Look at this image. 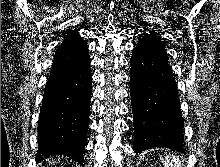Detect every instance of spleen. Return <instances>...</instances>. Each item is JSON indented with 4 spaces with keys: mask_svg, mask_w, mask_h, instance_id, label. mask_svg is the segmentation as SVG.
Returning a JSON list of instances; mask_svg holds the SVG:
<instances>
[{
    "mask_svg": "<svg viewBox=\"0 0 220 167\" xmlns=\"http://www.w3.org/2000/svg\"><path fill=\"white\" fill-rule=\"evenodd\" d=\"M162 163L164 167H182L180 160L174 155H167L162 159Z\"/></svg>",
    "mask_w": 220,
    "mask_h": 167,
    "instance_id": "obj_1",
    "label": "spleen"
}]
</instances>
